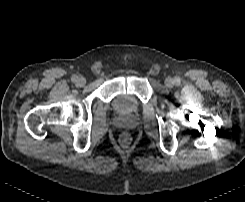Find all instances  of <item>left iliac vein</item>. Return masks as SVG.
<instances>
[{"instance_id": "1", "label": "left iliac vein", "mask_w": 245, "mask_h": 202, "mask_svg": "<svg viewBox=\"0 0 245 202\" xmlns=\"http://www.w3.org/2000/svg\"><path fill=\"white\" fill-rule=\"evenodd\" d=\"M165 85L167 87H172L174 85V80L172 78H170V77L166 78Z\"/></svg>"}]
</instances>
